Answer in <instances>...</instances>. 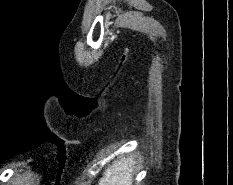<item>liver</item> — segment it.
Returning <instances> with one entry per match:
<instances>
[{
  "mask_svg": "<svg viewBox=\"0 0 233 185\" xmlns=\"http://www.w3.org/2000/svg\"><path fill=\"white\" fill-rule=\"evenodd\" d=\"M134 169L135 161L133 157H121L120 160L113 162L105 169L98 185H132Z\"/></svg>",
  "mask_w": 233,
  "mask_h": 185,
  "instance_id": "liver-1",
  "label": "liver"
}]
</instances>
